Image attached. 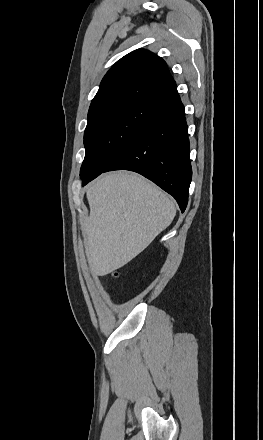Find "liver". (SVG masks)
<instances>
[{
    "mask_svg": "<svg viewBox=\"0 0 263 440\" xmlns=\"http://www.w3.org/2000/svg\"><path fill=\"white\" fill-rule=\"evenodd\" d=\"M86 196L90 216L83 234L95 276L107 275L130 262L176 215L174 201L134 173L105 174L88 187Z\"/></svg>",
    "mask_w": 263,
    "mask_h": 440,
    "instance_id": "6515ba94",
    "label": "liver"
}]
</instances>
